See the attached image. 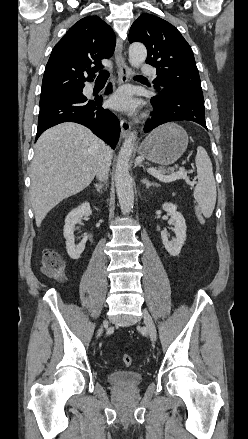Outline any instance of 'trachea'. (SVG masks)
I'll return each mask as SVG.
<instances>
[{
	"mask_svg": "<svg viewBox=\"0 0 248 439\" xmlns=\"http://www.w3.org/2000/svg\"><path fill=\"white\" fill-rule=\"evenodd\" d=\"M109 77V72L106 70L100 71L97 80H107Z\"/></svg>",
	"mask_w": 248,
	"mask_h": 439,
	"instance_id": "obj_1",
	"label": "trachea"
}]
</instances>
